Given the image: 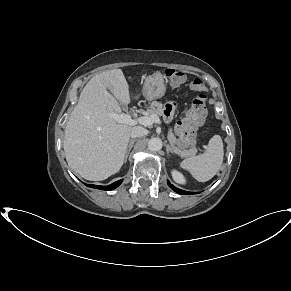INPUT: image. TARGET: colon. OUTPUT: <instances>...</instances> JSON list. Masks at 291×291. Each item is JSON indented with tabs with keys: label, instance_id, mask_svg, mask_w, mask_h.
<instances>
[{
	"label": "colon",
	"instance_id": "5ec220e1",
	"mask_svg": "<svg viewBox=\"0 0 291 291\" xmlns=\"http://www.w3.org/2000/svg\"><path fill=\"white\" fill-rule=\"evenodd\" d=\"M165 76L174 85H178L184 81V73L175 69H167ZM193 86L199 88L202 86V82L196 79L193 82ZM206 117V95L199 93L193 100L190 110L187 112L184 120L177 127L179 136V143L186 148H192L197 144L199 134L198 128L203 124Z\"/></svg>",
	"mask_w": 291,
	"mask_h": 291
}]
</instances>
